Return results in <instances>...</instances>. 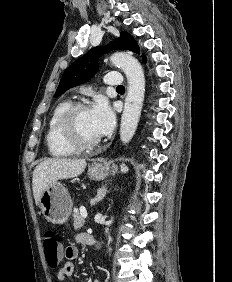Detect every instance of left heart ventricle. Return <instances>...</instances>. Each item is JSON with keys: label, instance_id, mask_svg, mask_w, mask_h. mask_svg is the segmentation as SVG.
Returning <instances> with one entry per match:
<instances>
[{"label": "left heart ventricle", "instance_id": "b2bd125f", "mask_svg": "<svg viewBox=\"0 0 232 282\" xmlns=\"http://www.w3.org/2000/svg\"><path fill=\"white\" fill-rule=\"evenodd\" d=\"M76 125L78 133L83 140L92 141L100 137L93 127L89 109L78 114Z\"/></svg>", "mask_w": 232, "mask_h": 282}]
</instances>
